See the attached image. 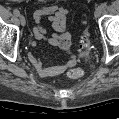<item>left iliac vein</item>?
I'll return each mask as SVG.
<instances>
[{"instance_id": "left-iliac-vein-1", "label": "left iliac vein", "mask_w": 119, "mask_h": 119, "mask_svg": "<svg viewBox=\"0 0 119 119\" xmlns=\"http://www.w3.org/2000/svg\"><path fill=\"white\" fill-rule=\"evenodd\" d=\"M102 11H103V9L101 6L97 7L95 12H94L95 18H98L101 15Z\"/></svg>"}]
</instances>
